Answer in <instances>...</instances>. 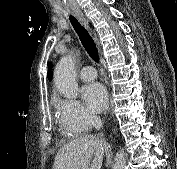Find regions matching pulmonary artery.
<instances>
[{"label":"pulmonary artery","mask_w":177,"mask_h":169,"mask_svg":"<svg viewBox=\"0 0 177 169\" xmlns=\"http://www.w3.org/2000/svg\"><path fill=\"white\" fill-rule=\"evenodd\" d=\"M80 78L86 82L93 81L97 78L96 70L92 66H85L80 71Z\"/></svg>","instance_id":"obj_1"}]
</instances>
